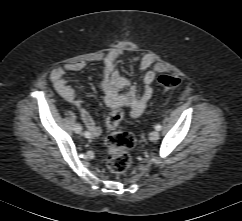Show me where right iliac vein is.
Returning a JSON list of instances; mask_svg holds the SVG:
<instances>
[{
    "label": "right iliac vein",
    "instance_id": "right-iliac-vein-1",
    "mask_svg": "<svg viewBox=\"0 0 242 221\" xmlns=\"http://www.w3.org/2000/svg\"><path fill=\"white\" fill-rule=\"evenodd\" d=\"M74 130H75L76 133H81L82 127L79 124H76Z\"/></svg>",
    "mask_w": 242,
    "mask_h": 221
}]
</instances>
